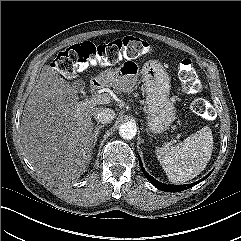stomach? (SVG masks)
Masks as SVG:
<instances>
[{"label":"stomach","mask_w":241,"mask_h":241,"mask_svg":"<svg viewBox=\"0 0 241 241\" xmlns=\"http://www.w3.org/2000/svg\"><path fill=\"white\" fill-rule=\"evenodd\" d=\"M138 76H141L146 92L148 130L155 134L162 133L175 120L176 110L169 100L170 77L160 63L148 61L140 70L136 63L128 61L117 70L106 72L101 78L122 89L134 84Z\"/></svg>","instance_id":"obj_1"}]
</instances>
